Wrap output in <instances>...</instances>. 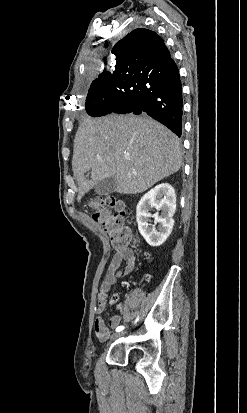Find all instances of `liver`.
I'll return each instance as SVG.
<instances>
[{
	"instance_id": "liver-1",
	"label": "liver",
	"mask_w": 247,
	"mask_h": 413,
	"mask_svg": "<svg viewBox=\"0 0 247 413\" xmlns=\"http://www.w3.org/2000/svg\"><path fill=\"white\" fill-rule=\"evenodd\" d=\"M180 138L147 114H107L84 118L74 138L72 168L80 202L99 180L115 176L117 192H144L179 170ZM91 168V178L86 170Z\"/></svg>"
}]
</instances>
